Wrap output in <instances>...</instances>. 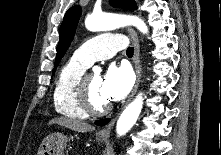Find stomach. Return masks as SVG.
I'll use <instances>...</instances> for the list:
<instances>
[{"label":"stomach","instance_id":"1","mask_svg":"<svg viewBox=\"0 0 221 155\" xmlns=\"http://www.w3.org/2000/svg\"><path fill=\"white\" fill-rule=\"evenodd\" d=\"M98 142H104L106 137H96ZM68 143V138L62 133H53L48 135L38 150L37 155H64V149Z\"/></svg>","mask_w":221,"mask_h":155}]
</instances>
